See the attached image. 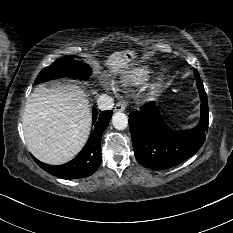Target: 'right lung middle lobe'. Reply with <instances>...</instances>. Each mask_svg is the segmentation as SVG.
I'll return each mask as SVG.
<instances>
[{
  "label": "right lung middle lobe",
  "mask_w": 233,
  "mask_h": 233,
  "mask_svg": "<svg viewBox=\"0 0 233 233\" xmlns=\"http://www.w3.org/2000/svg\"><path fill=\"white\" fill-rule=\"evenodd\" d=\"M91 74L88 65L74 60L72 57H64L56 60L52 65L45 67L37 76L35 83L56 79L59 77H77L87 79Z\"/></svg>",
  "instance_id": "1"
}]
</instances>
